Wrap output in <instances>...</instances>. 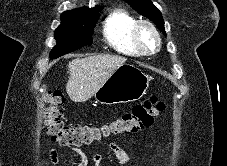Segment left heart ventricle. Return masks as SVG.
<instances>
[{
	"instance_id": "b2bd125f",
	"label": "left heart ventricle",
	"mask_w": 227,
	"mask_h": 166,
	"mask_svg": "<svg viewBox=\"0 0 227 166\" xmlns=\"http://www.w3.org/2000/svg\"><path fill=\"white\" fill-rule=\"evenodd\" d=\"M140 39H141V42L143 43V45L146 46L147 48H152L155 43L153 35L146 28H143L141 30Z\"/></svg>"
}]
</instances>
